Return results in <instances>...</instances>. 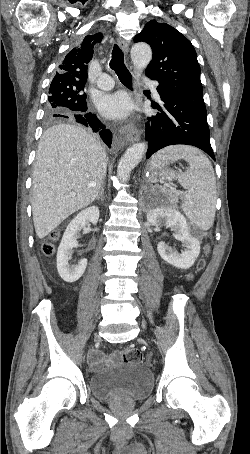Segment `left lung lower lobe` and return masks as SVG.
<instances>
[{
  "label": "left lung lower lobe",
  "mask_w": 250,
  "mask_h": 454,
  "mask_svg": "<svg viewBox=\"0 0 250 454\" xmlns=\"http://www.w3.org/2000/svg\"><path fill=\"white\" fill-rule=\"evenodd\" d=\"M162 106H153L161 111L148 119L146 139L149 148L146 158L158 150L175 144L196 146L213 160L210 132L207 123L203 91L168 89L158 86Z\"/></svg>",
  "instance_id": "1"
}]
</instances>
